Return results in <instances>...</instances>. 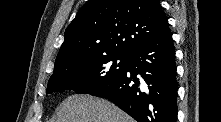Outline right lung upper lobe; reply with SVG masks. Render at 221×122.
Masks as SVG:
<instances>
[{
	"instance_id": "right-lung-upper-lobe-1",
	"label": "right lung upper lobe",
	"mask_w": 221,
	"mask_h": 122,
	"mask_svg": "<svg viewBox=\"0 0 221 122\" xmlns=\"http://www.w3.org/2000/svg\"><path fill=\"white\" fill-rule=\"evenodd\" d=\"M167 24L158 0H89L65 31L53 75L106 55L130 56Z\"/></svg>"
}]
</instances>
